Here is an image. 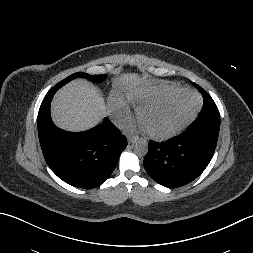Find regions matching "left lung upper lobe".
Masks as SVG:
<instances>
[{"mask_svg":"<svg viewBox=\"0 0 253 253\" xmlns=\"http://www.w3.org/2000/svg\"><path fill=\"white\" fill-rule=\"evenodd\" d=\"M203 96V108L199 115H219L218 108L211 96L199 85L195 84Z\"/></svg>","mask_w":253,"mask_h":253,"instance_id":"1","label":"left lung upper lobe"}]
</instances>
